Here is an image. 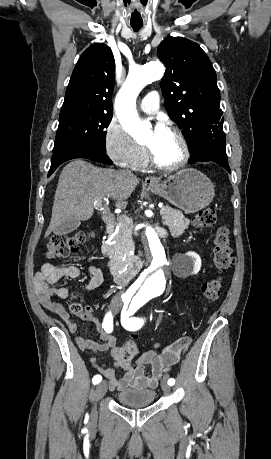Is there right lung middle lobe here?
<instances>
[{"label": "right lung middle lobe", "mask_w": 271, "mask_h": 459, "mask_svg": "<svg viewBox=\"0 0 271 459\" xmlns=\"http://www.w3.org/2000/svg\"><path fill=\"white\" fill-rule=\"evenodd\" d=\"M113 113H60L53 153L75 145L105 149V128Z\"/></svg>", "instance_id": "dd1d6c3e"}]
</instances>
